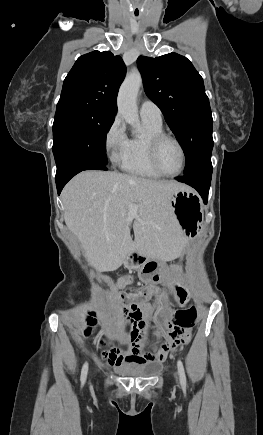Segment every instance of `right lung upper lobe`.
Segmentation results:
<instances>
[{"label":"right lung upper lobe","mask_w":263,"mask_h":435,"mask_svg":"<svg viewBox=\"0 0 263 435\" xmlns=\"http://www.w3.org/2000/svg\"><path fill=\"white\" fill-rule=\"evenodd\" d=\"M126 74L120 56L93 51L80 56L66 76L57 107L85 105L116 114V98Z\"/></svg>","instance_id":"right-lung-upper-lobe-1"}]
</instances>
